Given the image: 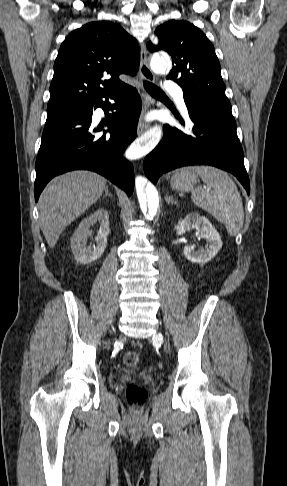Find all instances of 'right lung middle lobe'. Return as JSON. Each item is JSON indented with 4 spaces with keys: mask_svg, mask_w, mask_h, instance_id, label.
Masks as SVG:
<instances>
[{
    "mask_svg": "<svg viewBox=\"0 0 287 486\" xmlns=\"http://www.w3.org/2000/svg\"><path fill=\"white\" fill-rule=\"evenodd\" d=\"M81 109H82V106L47 110L46 122L53 121V120L59 119L61 117L67 116V115L79 113L81 111Z\"/></svg>",
    "mask_w": 287,
    "mask_h": 486,
    "instance_id": "1",
    "label": "right lung middle lobe"
}]
</instances>
